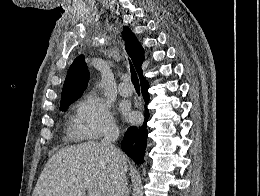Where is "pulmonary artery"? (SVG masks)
Returning <instances> with one entry per match:
<instances>
[{"mask_svg":"<svg viewBox=\"0 0 260 196\" xmlns=\"http://www.w3.org/2000/svg\"><path fill=\"white\" fill-rule=\"evenodd\" d=\"M120 87H119V93L122 96H130L133 93V86L132 85H127L126 81H121L120 82Z\"/></svg>","mask_w":260,"mask_h":196,"instance_id":"1","label":"pulmonary artery"}]
</instances>
